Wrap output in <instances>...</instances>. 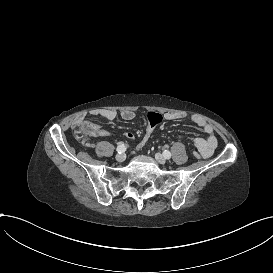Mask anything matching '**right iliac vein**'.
I'll use <instances>...</instances> for the list:
<instances>
[{
    "label": "right iliac vein",
    "mask_w": 273,
    "mask_h": 273,
    "mask_svg": "<svg viewBox=\"0 0 273 273\" xmlns=\"http://www.w3.org/2000/svg\"><path fill=\"white\" fill-rule=\"evenodd\" d=\"M116 160L118 161V162H123V161H125V159H126V155L124 154V153H119V154H117L116 155Z\"/></svg>",
    "instance_id": "right-iliac-vein-1"
}]
</instances>
